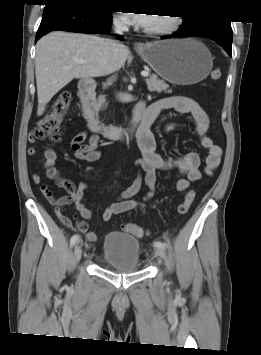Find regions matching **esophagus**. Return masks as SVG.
<instances>
[{
	"instance_id": "1",
	"label": "esophagus",
	"mask_w": 261,
	"mask_h": 355,
	"mask_svg": "<svg viewBox=\"0 0 261 355\" xmlns=\"http://www.w3.org/2000/svg\"><path fill=\"white\" fill-rule=\"evenodd\" d=\"M143 46H144L143 43H135V44H134V48L137 49V50L142 49Z\"/></svg>"
}]
</instances>
